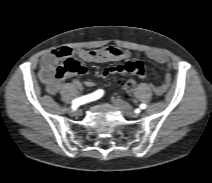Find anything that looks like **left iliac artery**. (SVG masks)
I'll return each instance as SVG.
<instances>
[{"instance_id": "obj_1", "label": "left iliac artery", "mask_w": 212, "mask_h": 183, "mask_svg": "<svg viewBox=\"0 0 212 183\" xmlns=\"http://www.w3.org/2000/svg\"><path fill=\"white\" fill-rule=\"evenodd\" d=\"M146 107H147V105L144 104V103L140 105V108H141V109H145Z\"/></svg>"}]
</instances>
